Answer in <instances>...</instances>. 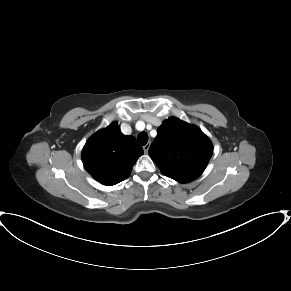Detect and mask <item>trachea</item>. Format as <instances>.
Here are the masks:
<instances>
[{"label":"trachea","mask_w":291,"mask_h":291,"mask_svg":"<svg viewBox=\"0 0 291 291\" xmlns=\"http://www.w3.org/2000/svg\"><path fill=\"white\" fill-rule=\"evenodd\" d=\"M137 140L141 145H146L148 141V134L146 132H141L137 136Z\"/></svg>","instance_id":"1"}]
</instances>
